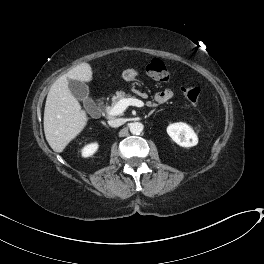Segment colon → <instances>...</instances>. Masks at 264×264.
<instances>
[{
    "label": "colon",
    "instance_id": "1",
    "mask_svg": "<svg viewBox=\"0 0 264 264\" xmlns=\"http://www.w3.org/2000/svg\"><path fill=\"white\" fill-rule=\"evenodd\" d=\"M147 74L154 80L165 82L169 79V72L165 64L157 59H152L146 67ZM184 97L191 101L197 102L201 97V90L198 87H187L182 89Z\"/></svg>",
    "mask_w": 264,
    "mask_h": 264
}]
</instances>
